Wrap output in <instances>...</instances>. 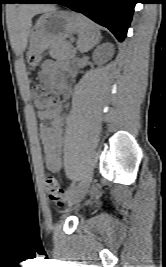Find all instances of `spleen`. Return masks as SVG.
Returning a JSON list of instances; mask_svg holds the SVG:
<instances>
[{"label":"spleen","mask_w":166,"mask_h":267,"mask_svg":"<svg viewBox=\"0 0 166 267\" xmlns=\"http://www.w3.org/2000/svg\"><path fill=\"white\" fill-rule=\"evenodd\" d=\"M79 20L78 49L80 52H87L99 42L101 33L97 25L88 18L79 15Z\"/></svg>","instance_id":"3e777b00"}]
</instances>
